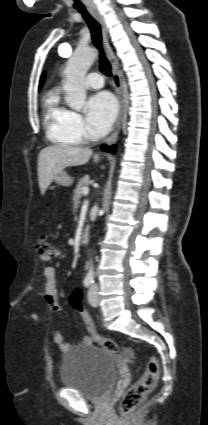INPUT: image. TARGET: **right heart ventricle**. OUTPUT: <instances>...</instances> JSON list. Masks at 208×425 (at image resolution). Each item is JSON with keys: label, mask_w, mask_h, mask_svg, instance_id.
<instances>
[{"label": "right heart ventricle", "mask_w": 208, "mask_h": 425, "mask_svg": "<svg viewBox=\"0 0 208 425\" xmlns=\"http://www.w3.org/2000/svg\"><path fill=\"white\" fill-rule=\"evenodd\" d=\"M43 109L46 136L52 143L66 146L79 144L80 140L70 127V111L62 105L57 92L47 94Z\"/></svg>", "instance_id": "right-heart-ventricle-1"}]
</instances>
